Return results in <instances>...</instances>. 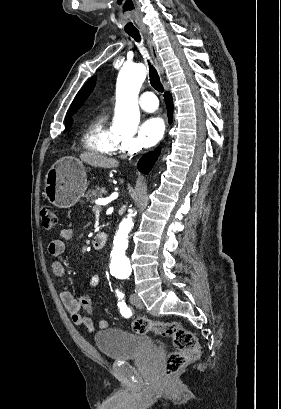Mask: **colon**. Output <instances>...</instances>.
Masks as SVG:
<instances>
[{"instance_id":"obj_1","label":"colon","mask_w":281,"mask_h":409,"mask_svg":"<svg viewBox=\"0 0 281 409\" xmlns=\"http://www.w3.org/2000/svg\"><path fill=\"white\" fill-rule=\"evenodd\" d=\"M42 225L45 229L57 226V213L53 206H41ZM132 328L139 333H154L173 339L175 352H171L165 359V371L174 373L183 369L190 361L199 356L195 335L177 323H164L146 318L137 317L132 322Z\"/></svg>"}]
</instances>
